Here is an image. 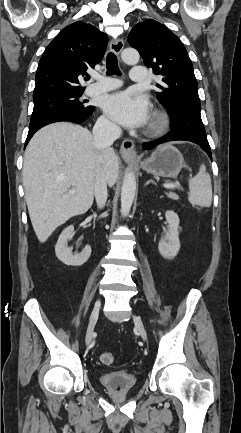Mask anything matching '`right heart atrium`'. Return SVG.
Masks as SVG:
<instances>
[{"mask_svg":"<svg viewBox=\"0 0 241 433\" xmlns=\"http://www.w3.org/2000/svg\"><path fill=\"white\" fill-rule=\"evenodd\" d=\"M98 128L107 133H114L116 131V126L108 119L102 117L98 121Z\"/></svg>","mask_w":241,"mask_h":433,"instance_id":"right-heart-atrium-1","label":"right heart atrium"}]
</instances>
